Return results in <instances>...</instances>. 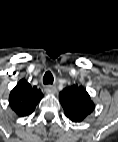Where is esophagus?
Returning a JSON list of instances; mask_svg holds the SVG:
<instances>
[{
	"label": "esophagus",
	"mask_w": 118,
	"mask_h": 142,
	"mask_svg": "<svg viewBox=\"0 0 118 142\" xmlns=\"http://www.w3.org/2000/svg\"><path fill=\"white\" fill-rule=\"evenodd\" d=\"M45 91L49 94H56L57 93V88L54 85H47L45 87Z\"/></svg>",
	"instance_id": "obj_1"
}]
</instances>
